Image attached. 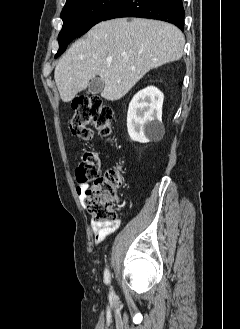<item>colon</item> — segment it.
<instances>
[{
    "instance_id": "colon-1",
    "label": "colon",
    "mask_w": 240,
    "mask_h": 329,
    "mask_svg": "<svg viewBox=\"0 0 240 329\" xmlns=\"http://www.w3.org/2000/svg\"><path fill=\"white\" fill-rule=\"evenodd\" d=\"M72 108L74 115L70 122V130L77 138L89 141L92 137L90 125L96 128L101 137H111L114 112L100 96L76 98ZM74 178L78 184L93 183L84 193V203L94 220L113 221L119 202L118 190L122 185L121 167L115 166L101 175L99 156L95 151L88 150L83 153L74 169Z\"/></svg>"
}]
</instances>
